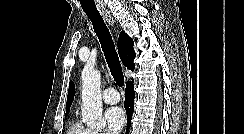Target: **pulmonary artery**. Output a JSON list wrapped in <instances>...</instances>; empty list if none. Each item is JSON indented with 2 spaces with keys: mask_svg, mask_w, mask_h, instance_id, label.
<instances>
[{
  "mask_svg": "<svg viewBox=\"0 0 244 134\" xmlns=\"http://www.w3.org/2000/svg\"><path fill=\"white\" fill-rule=\"evenodd\" d=\"M102 99L107 104H116L120 100L119 93L114 88H107L103 91Z\"/></svg>",
  "mask_w": 244,
  "mask_h": 134,
  "instance_id": "1",
  "label": "pulmonary artery"
}]
</instances>
